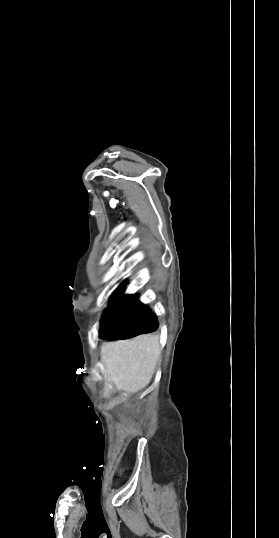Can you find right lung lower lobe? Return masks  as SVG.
Wrapping results in <instances>:
<instances>
[{
	"label": "right lung lower lobe",
	"mask_w": 279,
	"mask_h": 538,
	"mask_svg": "<svg viewBox=\"0 0 279 538\" xmlns=\"http://www.w3.org/2000/svg\"><path fill=\"white\" fill-rule=\"evenodd\" d=\"M122 292L123 288L119 287L112 295V306L101 322L100 337L113 340L156 331L158 320L150 308L140 303L136 296Z\"/></svg>",
	"instance_id": "obj_1"
}]
</instances>
